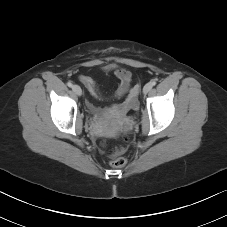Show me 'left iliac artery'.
<instances>
[{
  "label": "left iliac artery",
  "instance_id": "left-iliac-artery-1",
  "mask_svg": "<svg viewBox=\"0 0 227 227\" xmlns=\"http://www.w3.org/2000/svg\"><path fill=\"white\" fill-rule=\"evenodd\" d=\"M150 83L152 86H155L157 82L155 80H152Z\"/></svg>",
  "mask_w": 227,
  "mask_h": 227
}]
</instances>
